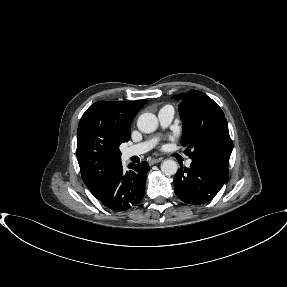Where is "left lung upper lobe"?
Here are the masks:
<instances>
[{
    "instance_id": "1",
    "label": "left lung upper lobe",
    "mask_w": 287,
    "mask_h": 287,
    "mask_svg": "<svg viewBox=\"0 0 287 287\" xmlns=\"http://www.w3.org/2000/svg\"><path fill=\"white\" fill-rule=\"evenodd\" d=\"M181 100L180 117L183 120L181 144L191 159L216 157L229 161L233 143L227 120L218 104L201 91L175 95Z\"/></svg>"
}]
</instances>
